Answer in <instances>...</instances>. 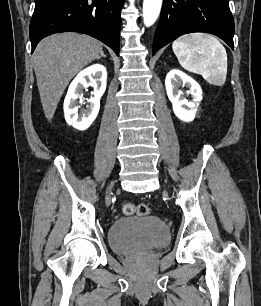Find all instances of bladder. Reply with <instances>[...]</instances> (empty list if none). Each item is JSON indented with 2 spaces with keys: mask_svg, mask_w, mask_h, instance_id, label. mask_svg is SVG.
<instances>
[{
  "mask_svg": "<svg viewBox=\"0 0 261 306\" xmlns=\"http://www.w3.org/2000/svg\"><path fill=\"white\" fill-rule=\"evenodd\" d=\"M110 248L116 254L138 249L166 246L170 241L168 226L152 215H133L115 220L108 231Z\"/></svg>",
  "mask_w": 261,
  "mask_h": 306,
  "instance_id": "obj_1",
  "label": "bladder"
}]
</instances>
